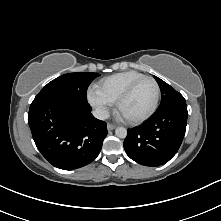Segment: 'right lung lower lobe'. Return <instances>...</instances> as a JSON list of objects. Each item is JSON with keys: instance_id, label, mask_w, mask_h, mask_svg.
<instances>
[{"instance_id": "right-lung-lower-lobe-1", "label": "right lung lower lobe", "mask_w": 221, "mask_h": 221, "mask_svg": "<svg viewBox=\"0 0 221 221\" xmlns=\"http://www.w3.org/2000/svg\"><path fill=\"white\" fill-rule=\"evenodd\" d=\"M28 124L45 159L65 170L91 163L107 135L106 123L91 114L87 100L75 98L49 99L30 106Z\"/></svg>"}]
</instances>
